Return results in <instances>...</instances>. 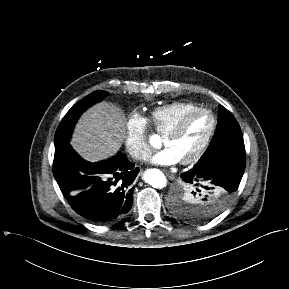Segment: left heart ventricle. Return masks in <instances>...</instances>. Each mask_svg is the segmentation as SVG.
I'll use <instances>...</instances> for the list:
<instances>
[{
    "label": "left heart ventricle",
    "instance_id": "obj_1",
    "mask_svg": "<svg viewBox=\"0 0 289 289\" xmlns=\"http://www.w3.org/2000/svg\"><path fill=\"white\" fill-rule=\"evenodd\" d=\"M208 114L200 113L189 119L183 131L176 137L163 138L165 147L171 148L180 160L190 156L203 142L211 128Z\"/></svg>",
    "mask_w": 289,
    "mask_h": 289
}]
</instances>
